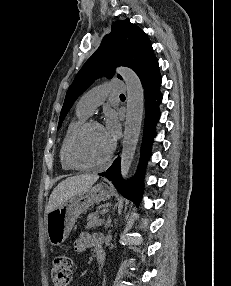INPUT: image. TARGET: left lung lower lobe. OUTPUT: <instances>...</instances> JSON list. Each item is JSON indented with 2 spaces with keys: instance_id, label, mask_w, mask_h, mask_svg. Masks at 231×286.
<instances>
[{
  "instance_id": "0a47b994",
  "label": "left lung lower lobe",
  "mask_w": 231,
  "mask_h": 286,
  "mask_svg": "<svg viewBox=\"0 0 231 286\" xmlns=\"http://www.w3.org/2000/svg\"><path fill=\"white\" fill-rule=\"evenodd\" d=\"M138 76L144 88L146 111L143 143L141 146V159L138 171L135 177L128 183V185L123 186L120 174V158H117L106 172L99 174L101 176H105L108 180H111L114 186L124 196L135 201L137 206L141 200V195L143 193L142 176L145 168V163L147 162V159L150 155L151 142L155 136V125L160 117L158 105L162 101V95L159 90L161 85V75L159 72L157 59H154L148 65H146L140 71Z\"/></svg>"
}]
</instances>
